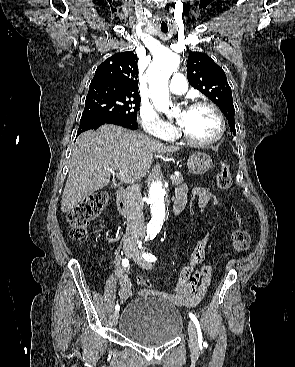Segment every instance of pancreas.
I'll return each mask as SVG.
<instances>
[{
    "instance_id": "pancreas-1",
    "label": "pancreas",
    "mask_w": 295,
    "mask_h": 367,
    "mask_svg": "<svg viewBox=\"0 0 295 367\" xmlns=\"http://www.w3.org/2000/svg\"><path fill=\"white\" fill-rule=\"evenodd\" d=\"M182 182H183V177L181 174L175 176V178L172 179V184L175 186L180 185Z\"/></svg>"
}]
</instances>
